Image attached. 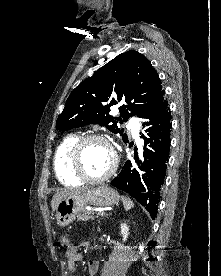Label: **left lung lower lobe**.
I'll use <instances>...</instances> for the list:
<instances>
[{
	"mask_svg": "<svg viewBox=\"0 0 221 276\" xmlns=\"http://www.w3.org/2000/svg\"><path fill=\"white\" fill-rule=\"evenodd\" d=\"M143 122L147 137L145 140L143 160L138 159L135 150L134 161H127L111 185L125 191L142 204L152 219L156 217L160 190L166 176V163L169 158L171 112L168 102H160Z\"/></svg>",
	"mask_w": 221,
	"mask_h": 276,
	"instance_id": "left-lung-lower-lobe-1",
	"label": "left lung lower lobe"
}]
</instances>
